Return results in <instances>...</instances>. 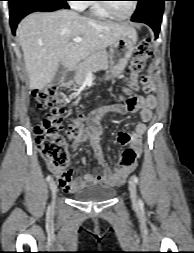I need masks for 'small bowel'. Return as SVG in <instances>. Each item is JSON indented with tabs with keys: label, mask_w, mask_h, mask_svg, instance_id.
<instances>
[{
	"label": "small bowel",
	"mask_w": 194,
	"mask_h": 253,
	"mask_svg": "<svg viewBox=\"0 0 194 253\" xmlns=\"http://www.w3.org/2000/svg\"><path fill=\"white\" fill-rule=\"evenodd\" d=\"M142 87L145 96H140L139 93H132V97H126L125 104H116L110 108L96 111L90 116L88 127L82 130L77 138L70 140L68 143L69 148L72 151H76L83 142L88 141L99 166L102 168L101 174L85 173L81 177L75 178L72 169L58 170L49 165V169L57 177L66 192H75L96 184L119 185L135 169L136 161L130 166L116 165L113 169L105 162L101 145L102 127L100 120L106 114L125 115L137 113L140 121L136 124L134 131H120L117 135V140L121 145H129V149L135 151L138 157L142 151V138L147 132V123L151 120L152 112L157 106V99L154 95L155 85L149 77L144 76L142 78Z\"/></svg>",
	"instance_id": "small-bowel-1"
}]
</instances>
